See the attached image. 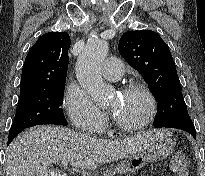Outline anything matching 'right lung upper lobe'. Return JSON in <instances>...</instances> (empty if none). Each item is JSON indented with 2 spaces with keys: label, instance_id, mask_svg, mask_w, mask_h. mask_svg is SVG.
Returning a JSON list of instances; mask_svg holds the SVG:
<instances>
[{
  "label": "right lung upper lobe",
  "instance_id": "1",
  "mask_svg": "<svg viewBox=\"0 0 205 176\" xmlns=\"http://www.w3.org/2000/svg\"><path fill=\"white\" fill-rule=\"evenodd\" d=\"M69 47L70 37L66 32H50L39 37L23 65L20 95L65 83Z\"/></svg>",
  "mask_w": 205,
  "mask_h": 176
}]
</instances>
